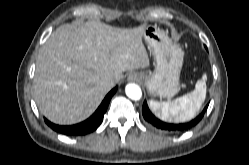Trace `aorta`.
Segmentation results:
<instances>
[{
  "mask_svg": "<svg viewBox=\"0 0 249 165\" xmlns=\"http://www.w3.org/2000/svg\"><path fill=\"white\" fill-rule=\"evenodd\" d=\"M126 95L132 100H140L142 97L141 88L135 83H129L125 87Z\"/></svg>",
  "mask_w": 249,
  "mask_h": 165,
  "instance_id": "1",
  "label": "aorta"
}]
</instances>
